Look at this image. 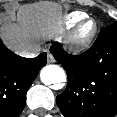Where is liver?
Here are the masks:
<instances>
[{
  "instance_id": "6515ba94",
  "label": "liver",
  "mask_w": 117,
  "mask_h": 117,
  "mask_svg": "<svg viewBox=\"0 0 117 117\" xmlns=\"http://www.w3.org/2000/svg\"><path fill=\"white\" fill-rule=\"evenodd\" d=\"M18 19L19 25H6L1 32L6 45L16 51L32 46L34 37L50 35L60 18L54 4L38 2L20 8Z\"/></svg>"
}]
</instances>
